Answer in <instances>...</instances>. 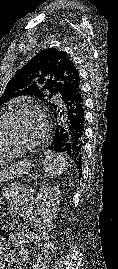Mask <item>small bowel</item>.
Segmentation results:
<instances>
[{"label": "small bowel", "instance_id": "obj_1", "mask_svg": "<svg viewBox=\"0 0 118 269\" xmlns=\"http://www.w3.org/2000/svg\"><path fill=\"white\" fill-rule=\"evenodd\" d=\"M16 198L10 200L7 207V214L9 217L23 215L30 217L35 226L34 231H24L11 234V242L13 245L22 244L25 241H30L35 247L46 251L47 235L43 232V225L34 217L30 216L31 204L33 196L30 192L24 195H16ZM0 256L4 257L1 264L2 268H8L11 265H22L28 261V252L25 249H18L15 252L7 247L5 241H0Z\"/></svg>", "mask_w": 118, "mask_h": 269}]
</instances>
